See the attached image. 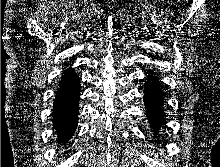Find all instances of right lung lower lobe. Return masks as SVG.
Masks as SVG:
<instances>
[{
  "instance_id": "obj_1",
  "label": "right lung lower lobe",
  "mask_w": 220,
  "mask_h": 167,
  "mask_svg": "<svg viewBox=\"0 0 220 167\" xmlns=\"http://www.w3.org/2000/svg\"><path fill=\"white\" fill-rule=\"evenodd\" d=\"M80 81L73 69L64 72L53 104V123L60 143H66L73 135L78 120Z\"/></svg>"
}]
</instances>
